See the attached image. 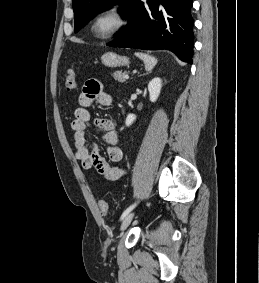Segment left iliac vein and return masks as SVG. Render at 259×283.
<instances>
[{
	"label": "left iliac vein",
	"instance_id": "obj_1",
	"mask_svg": "<svg viewBox=\"0 0 259 283\" xmlns=\"http://www.w3.org/2000/svg\"><path fill=\"white\" fill-rule=\"evenodd\" d=\"M133 217H134V212H131L128 215H126L120 226L121 231H124L130 225Z\"/></svg>",
	"mask_w": 259,
	"mask_h": 283
}]
</instances>
